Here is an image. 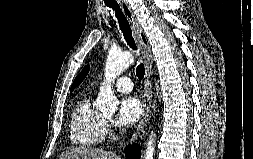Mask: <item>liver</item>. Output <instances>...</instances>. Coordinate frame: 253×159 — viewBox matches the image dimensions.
<instances>
[{
	"instance_id": "1",
	"label": "liver",
	"mask_w": 253,
	"mask_h": 159,
	"mask_svg": "<svg viewBox=\"0 0 253 159\" xmlns=\"http://www.w3.org/2000/svg\"><path fill=\"white\" fill-rule=\"evenodd\" d=\"M59 159H120L115 153L104 149L77 147L64 152Z\"/></svg>"
}]
</instances>
